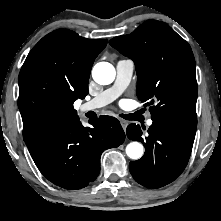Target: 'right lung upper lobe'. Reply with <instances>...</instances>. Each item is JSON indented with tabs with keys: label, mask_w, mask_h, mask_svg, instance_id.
I'll return each mask as SVG.
<instances>
[{
	"label": "right lung upper lobe",
	"mask_w": 221,
	"mask_h": 221,
	"mask_svg": "<svg viewBox=\"0 0 221 221\" xmlns=\"http://www.w3.org/2000/svg\"><path fill=\"white\" fill-rule=\"evenodd\" d=\"M106 44L58 29L33 47L19 74L24 141L56 118L77 116L73 103L88 94L92 65Z\"/></svg>",
	"instance_id": "1"
}]
</instances>
